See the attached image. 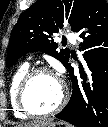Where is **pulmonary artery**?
<instances>
[{
  "label": "pulmonary artery",
  "mask_w": 108,
  "mask_h": 127,
  "mask_svg": "<svg viewBox=\"0 0 108 127\" xmlns=\"http://www.w3.org/2000/svg\"><path fill=\"white\" fill-rule=\"evenodd\" d=\"M67 38H68V40L72 43V44H76V40H77V37H76V35L75 34H73V33H68L67 34Z\"/></svg>",
  "instance_id": "e3ab8cb5"
}]
</instances>
